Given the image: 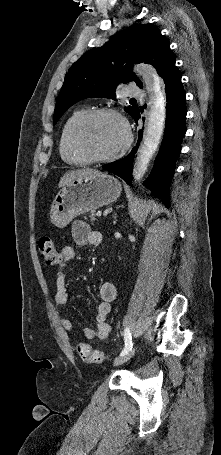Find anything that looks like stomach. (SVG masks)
I'll use <instances>...</instances> for the list:
<instances>
[{
    "label": "stomach",
    "mask_w": 221,
    "mask_h": 455,
    "mask_svg": "<svg viewBox=\"0 0 221 455\" xmlns=\"http://www.w3.org/2000/svg\"><path fill=\"white\" fill-rule=\"evenodd\" d=\"M121 191L119 180L108 174L75 179L56 195L50 210L51 222L64 228L76 216L116 201Z\"/></svg>",
    "instance_id": "stomach-1"
}]
</instances>
